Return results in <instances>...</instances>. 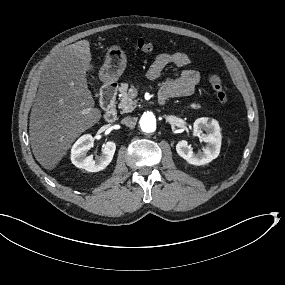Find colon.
<instances>
[{
  "label": "colon",
  "mask_w": 285,
  "mask_h": 285,
  "mask_svg": "<svg viewBox=\"0 0 285 285\" xmlns=\"http://www.w3.org/2000/svg\"><path fill=\"white\" fill-rule=\"evenodd\" d=\"M136 47L140 51L145 53H150L155 50V44L143 38H140L136 41ZM209 82L212 86V89L214 90L217 100L221 104H226L229 100V97L224 86L223 80L219 76L211 74L209 76Z\"/></svg>",
  "instance_id": "colon-1"
}]
</instances>
